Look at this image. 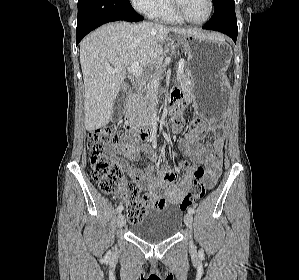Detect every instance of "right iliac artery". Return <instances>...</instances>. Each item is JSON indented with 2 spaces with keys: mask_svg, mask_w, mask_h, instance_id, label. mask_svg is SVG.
I'll use <instances>...</instances> for the list:
<instances>
[{
  "mask_svg": "<svg viewBox=\"0 0 299 280\" xmlns=\"http://www.w3.org/2000/svg\"><path fill=\"white\" fill-rule=\"evenodd\" d=\"M122 210H123V205H119L118 208H117V211L122 212Z\"/></svg>",
  "mask_w": 299,
  "mask_h": 280,
  "instance_id": "82829eb1",
  "label": "right iliac artery"
}]
</instances>
